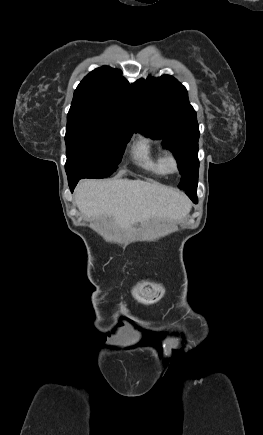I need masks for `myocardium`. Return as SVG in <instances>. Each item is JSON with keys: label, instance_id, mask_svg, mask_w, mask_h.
Wrapping results in <instances>:
<instances>
[{"label": "myocardium", "instance_id": "1", "mask_svg": "<svg viewBox=\"0 0 263 435\" xmlns=\"http://www.w3.org/2000/svg\"><path fill=\"white\" fill-rule=\"evenodd\" d=\"M166 168L169 172L174 173L179 169V160L174 154H168L165 157Z\"/></svg>", "mask_w": 263, "mask_h": 435}]
</instances>
